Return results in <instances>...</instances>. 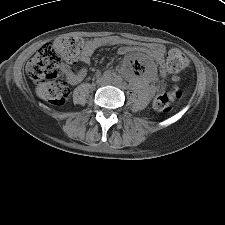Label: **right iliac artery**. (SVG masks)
<instances>
[{
  "label": "right iliac artery",
  "mask_w": 225,
  "mask_h": 225,
  "mask_svg": "<svg viewBox=\"0 0 225 225\" xmlns=\"http://www.w3.org/2000/svg\"><path fill=\"white\" fill-rule=\"evenodd\" d=\"M112 72L111 71H109V70H107V71H105L104 73H103V77H105V78H110V77H112Z\"/></svg>",
  "instance_id": "82829eb1"
}]
</instances>
